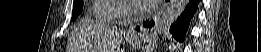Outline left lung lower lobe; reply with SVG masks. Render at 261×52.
<instances>
[{
    "label": "left lung lower lobe",
    "mask_w": 261,
    "mask_h": 52,
    "mask_svg": "<svg viewBox=\"0 0 261 52\" xmlns=\"http://www.w3.org/2000/svg\"><path fill=\"white\" fill-rule=\"evenodd\" d=\"M199 2L200 0H189L188 5L185 8L182 15L180 16V18L171 25L170 32L176 40L180 42L184 41L190 20L195 14ZM153 25H154L153 21L150 22L146 21L144 23V27H152Z\"/></svg>",
    "instance_id": "0a47b994"
}]
</instances>
